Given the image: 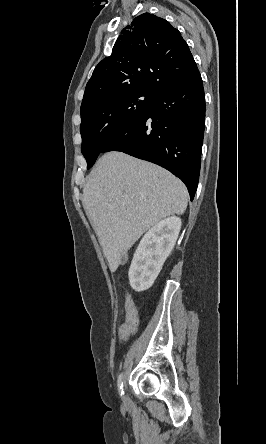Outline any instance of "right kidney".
<instances>
[{
  "instance_id": "1",
  "label": "right kidney",
  "mask_w": 266,
  "mask_h": 444,
  "mask_svg": "<svg viewBox=\"0 0 266 444\" xmlns=\"http://www.w3.org/2000/svg\"><path fill=\"white\" fill-rule=\"evenodd\" d=\"M181 225V219L172 216L161 220L143 236L129 269V282L135 291L153 285L176 243Z\"/></svg>"
}]
</instances>
